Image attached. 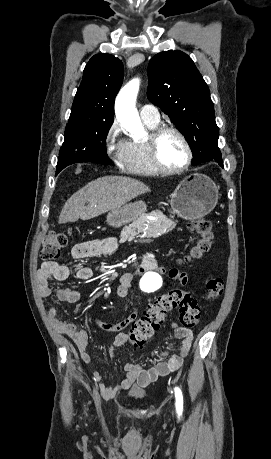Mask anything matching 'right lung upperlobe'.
<instances>
[{"instance_id":"right-lung-upper-lobe-1","label":"right lung upper lobe","mask_w":271,"mask_h":459,"mask_svg":"<svg viewBox=\"0 0 271 459\" xmlns=\"http://www.w3.org/2000/svg\"><path fill=\"white\" fill-rule=\"evenodd\" d=\"M123 81V64L111 54H96L86 65L70 116H114V100Z\"/></svg>"}]
</instances>
